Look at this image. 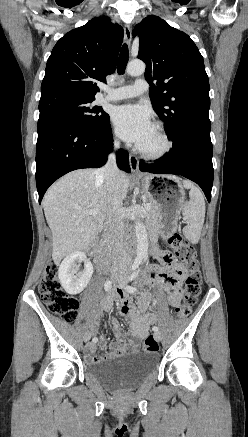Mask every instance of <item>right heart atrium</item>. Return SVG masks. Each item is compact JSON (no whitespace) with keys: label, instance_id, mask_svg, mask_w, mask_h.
Segmentation results:
<instances>
[{"label":"right heart atrium","instance_id":"1","mask_svg":"<svg viewBox=\"0 0 248 437\" xmlns=\"http://www.w3.org/2000/svg\"><path fill=\"white\" fill-rule=\"evenodd\" d=\"M113 142L115 143V144H118L119 143V140H118V138L114 135L113 136Z\"/></svg>","mask_w":248,"mask_h":437}]
</instances>
